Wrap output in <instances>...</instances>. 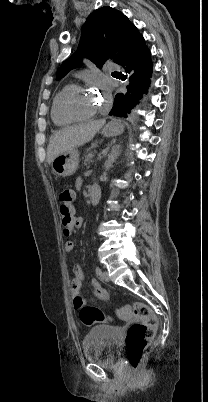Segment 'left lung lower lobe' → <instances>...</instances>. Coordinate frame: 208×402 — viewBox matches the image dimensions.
<instances>
[{"label":"left lung lower lobe","mask_w":208,"mask_h":402,"mask_svg":"<svg viewBox=\"0 0 208 402\" xmlns=\"http://www.w3.org/2000/svg\"><path fill=\"white\" fill-rule=\"evenodd\" d=\"M115 63L121 65L129 75L126 92L118 93L109 115L127 117V114L139 102L142 94L147 92L152 74L151 52L143 36L134 24L131 25L124 44Z\"/></svg>","instance_id":"left-lung-lower-lobe-1"}]
</instances>
